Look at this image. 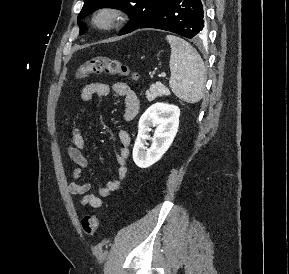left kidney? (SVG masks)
Here are the masks:
<instances>
[{
  "mask_svg": "<svg viewBox=\"0 0 289 274\" xmlns=\"http://www.w3.org/2000/svg\"><path fill=\"white\" fill-rule=\"evenodd\" d=\"M180 109L175 105L155 103L141 116L138 136L133 148V160L140 168L156 163L172 144L179 126ZM156 127L153 137L149 132ZM146 140H151L147 148Z\"/></svg>",
  "mask_w": 289,
  "mask_h": 274,
  "instance_id": "1",
  "label": "left kidney"
}]
</instances>
